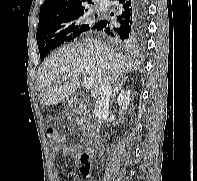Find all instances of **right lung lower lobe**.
I'll return each instance as SVG.
<instances>
[{
	"instance_id": "right-lung-lower-lobe-1",
	"label": "right lung lower lobe",
	"mask_w": 197,
	"mask_h": 181,
	"mask_svg": "<svg viewBox=\"0 0 197 181\" xmlns=\"http://www.w3.org/2000/svg\"><path fill=\"white\" fill-rule=\"evenodd\" d=\"M116 2L119 15L115 21H97L92 30L120 38L131 43L139 37L146 24L147 0H113Z\"/></svg>"
}]
</instances>
